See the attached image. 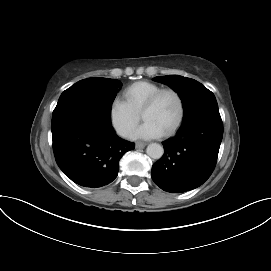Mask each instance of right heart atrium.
Returning <instances> with one entry per match:
<instances>
[{"label":"right heart atrium","instance_id":"right-heart-atrium-1","mask_svg":"<svg viewBox=\"0 0 271 271\" xmlns=\"http://www.w3.org/2000/svg\"><path fill=\"white\" fill-rule=\"evenodd\" d=\"M139 115L120 98H114L109 106V121L112 128L122 137H128L139 122Z\"/></svg>","mask_w":271,"mask_h":271}]
</instances>
